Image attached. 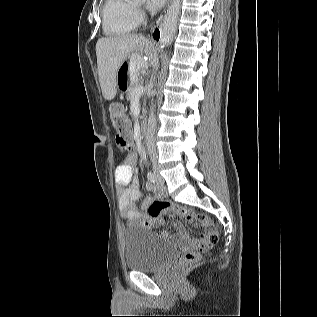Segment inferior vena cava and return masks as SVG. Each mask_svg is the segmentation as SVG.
I'll list each match as a JSON object with an SVG mask.
<instances>
[{
    "label": "inferior vena cava",
    "mask_w": 317,
    "mask_h": 317,
    "mask_svg": "<svg viewBox=\"0 0 317 317\" xmlns=\"http://www.w3.org/2000/svg\"><path fill=\"white\" fill-rule=\"evenodd\" d=\"M158 67H159L158 58L155 53L154 73L157 71ZM155 128H156V118L153 111H151L148 118L146 144L148 148V154L150 156L154 169L157 167V151H156V145H155V139H154Z\"/></svg>",
    "instance_id": "602c4592"
}]
</instances>
